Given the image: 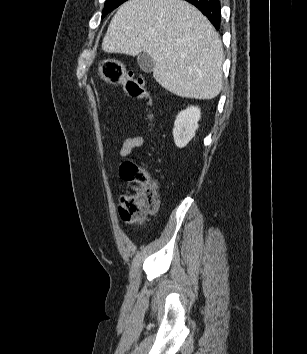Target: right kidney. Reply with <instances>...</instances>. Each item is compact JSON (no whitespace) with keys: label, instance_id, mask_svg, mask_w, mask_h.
<instances>
[{"label":"right kidney","instance_id":"1","mask_svg":"<svg viewBox=\"0 0 307 354\" xmlns=\"http://www.w3.org/2000/svg\"><path fill=\"white\" fill-rule=\"evenodd\" d=\"M200 117V109L194 106L188 107L177 115L173 128L174 142L177 147H185L195 136Z\"/></svg>","mask_w":307,"mask_h":354}]
</instances>
